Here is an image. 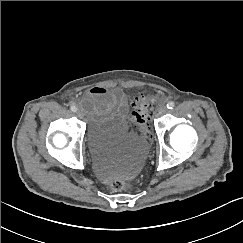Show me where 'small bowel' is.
Segmentation results:
<instances>
[{"label":"small bowel","mask_w":243,"mask_h":243,"mask_svg":"<svg viewBox=\"0 0 243 243\" xmlns=\"http://www.w3.org/2000/svg\"><path fill=\"white\" fill-rule=\"evenodd\" d=\"M79 104L95 116L115 114L124 117L128 112L126 94L119 87H93L79 99Z\"/></svg>","instance_id":"c3829d8e"}]
</instances>
